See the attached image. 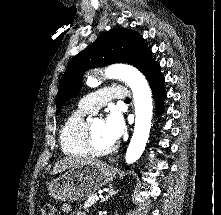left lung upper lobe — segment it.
Returning <instances> with one entry per match:
<instances>
[{
    "label": "left lung upper lobe",
    "instance_id": "left-lung-upper-lobe-1",
    "mask_svg": "<svg viewBox=\"0 0 221 215\" xmlns=\"http://www.w3.org/2000/svg\"><path fill=\"white\" fill-rule=\"evenodd\" d=\"M112 63H128L143 73L155 61L137 32L115 29L103 33L90 47L77 54L66 69L57 95V114L64 103L79 92L87 70Z\"/></svg>",
    "mask_w": 221,
    "mask_h": 215
}]
</instances>
